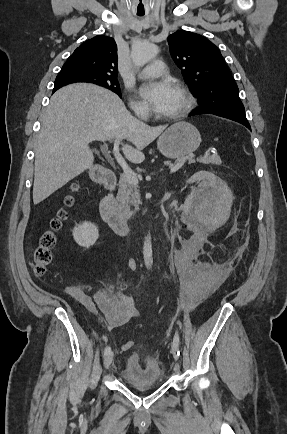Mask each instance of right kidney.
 Segmentation results:
<instances>
[{"label": "right kidney", "instance_id": "ca27d5eb", "mask_svg": "<svg viewBox=\"0 0 287 434\" xmlns=\"http://www.w3.org/2000/svg\"><path fill=\"white\" fill-rule=\"evenodd\" d=\"M72 234L75 242L84 248L93 246L99 237L97 226L90 222H84L74 227Z\"/></svg>", "mask_w": 287, "mask_h": 434}]
</instances>
